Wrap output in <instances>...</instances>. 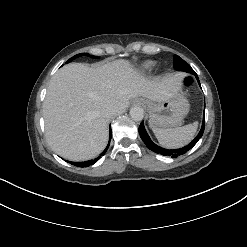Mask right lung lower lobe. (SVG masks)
<instances>
[{
    "mask_svg": "<svg viewBox=\"0 0 247 247\" xmlns=\"http://www.w3.org/2000/svg\"><path fill=\"white\" fill-rule=\"evenodd\" d=\"M111 137H112V132H111V128H110V135H109V140H111ZM110 143L107 145L106 149L100 154L99 157H97L96 159L94 160H89V161H85V162H70L71 164L75 165V166H78V167H88L90 165H93L94 163L97 162V160L99 158H101L107 151L108 147H109Z\"/></svg>",
    "mask_w": 247,
    "mask_h": 247,
    "instance_id": "1",
    "label": "right lung lower lobe"
}]
</instances>
